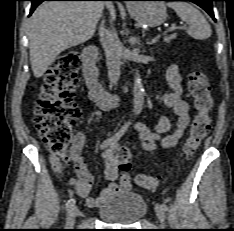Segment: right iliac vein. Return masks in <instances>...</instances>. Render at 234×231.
<instances>
[{"label":"right iliac vein","instance_id":"obj_1","mask_svg":"<svg viewBox=\"0 0 234 231\" xmlns=\"http://www.w3.org/2000/svg\"><path fill=\"white\" fill-rule=\"evenodd\" d=\"M78 214V207L73 206L69 209L68 214H67V222H66V227L67 228H72L75 223V218Z\"/></svg>","mask_w":234,"mask_h":231}]
</instances>
